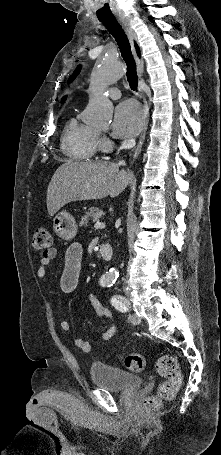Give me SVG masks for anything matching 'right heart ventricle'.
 <instances>
[{
    "mask_svg": "<svg viewBox=\"0 0 221 455\" xmlns=\"http://www.w3.org/2000/svg\"><path fill=\"white\" fill-rule=\"evenodd\" d=\"M99 132L88 124L71 116L63 130L61 148L63 153L76 161L91 159L98 150Z\"/></svg>",
    "mask_w": 221,
    "mask_h": 455,
    "instance_id": "1",
    "label": "right heart ventricle"
}]
</instances>
